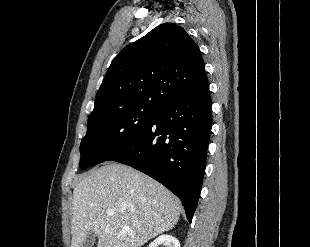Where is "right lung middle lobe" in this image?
Masks as SVG:
<instances>
[{
	"label": "right lung middle lobe",
	"instance_id": "dd1d6c3e",
	"mask_svg": "<svg viewBox=\"0 0 310 247\" xmlns=\"http://www.w3.org/2000/svg\"><path fill=\"white\" fill-rule=\"evenodd\" d=\"M157 110L125 108L88 119L80 144V168L104 161L129 146Z\"/></svg>",
	"mask_w": 310,
	"mask_h": 247
}]
</instances>
